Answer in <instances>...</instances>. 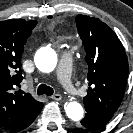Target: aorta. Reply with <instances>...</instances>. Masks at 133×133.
Segmentation results:
<instances>
[{"label":"aorta","instance_id":"762f6f07","mask_svg":"<svg viewBox=\"0 0 133 133\" xmlns=\"http://www.w3.org/2000/svg\"><path fill=\"white\" fill-rule=\"evenodd\" d=\"M36 67L44 72H52L57 65V55L53 49L47 48L35 56ZM66 115L73 121H79L84 116V110L80 103L76 101L69 102L65 107Z\"/></svg>","mask_w":133,"mask_h":133}]
</instances>
